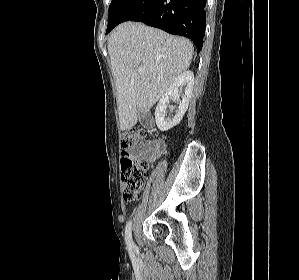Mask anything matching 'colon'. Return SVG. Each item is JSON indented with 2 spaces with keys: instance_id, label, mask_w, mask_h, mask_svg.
I'll list each match as a JSON object with an SVG mask.
<instances>
[{
  "instance_id": "colon-1",
  "label": "colon",
  "mask_w": 299,
  "mask_h": 280,
  "mask_svg": "<svg viewBox=\"0 0 299 280\" xmlns=\"http://www.w3.org/2000/svg\"><path fill=\"white\" fill-rule=\"evenodd\" d=\"M146 141V130L142 127L128 129L122 136L121 179L123 198L134 201L140 194L150 166V158L134 156L132 149Z\"/></svg>"
}]
</instances>
